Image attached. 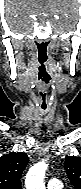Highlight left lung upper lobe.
Segmentation results:
<instances>
[{
	"label": "left lung upper lobe",
	"mask_w": 81,
	"mask_h": 189,
	"mask_svg": "<svg viewBox=\"0 0 81 189\" xmlns=\"http://www.w3.org/2000/svg\"><path fill=\"white\" fill-rule=\"evenodd\" d=\"M64 165L71 183L76 189H81V158L68 156Z\"/></svg>",
	"instance_id": "1"
}]
</instances>
